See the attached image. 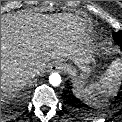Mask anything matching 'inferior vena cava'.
Masks as SVG:
<instances>
[{"label":"inferior vena cava","instance_id":"inferior-vena-cava-1","mask_svg":"<svg viewBox=\"0 0 122 122\" xmlns=\"http://www.w3.org/2000/svg\"><path fill=\"white\" fill-rule=\"evenodd\" d=\"M45 68H46V64H45V63H38V64L36 65V68L34 69V73H35V74H39V73H41Z\"/></svg>","mask_w":122,"mask_h":122}]
</instances>
